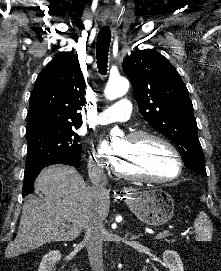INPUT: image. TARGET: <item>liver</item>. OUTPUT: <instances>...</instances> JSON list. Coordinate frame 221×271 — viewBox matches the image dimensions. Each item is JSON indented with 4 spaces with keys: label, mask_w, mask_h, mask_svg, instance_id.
<instances>
[{
    "label": "liver",
    "mask_w": 221,
    "mask_h": 271,
    "mask_svg": "<svg viewBox=\"0 0 221 271\" xmlns=\"http://www.w3.org/2000/svg\"><path fill=\"white\" fill-rule=\"evenodd\" d=\"M34 187L44 197H25L17 235L8 243L5 257H15L48 241H73L84 229L94 205L104 219L109 213V197L96 199L92 187L70 165L45 167Z\"/></svg>",
    "instance_id": "6515ba94"
}]
</instances>
